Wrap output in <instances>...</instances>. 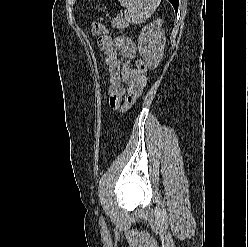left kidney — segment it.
<instances>
[{
  "label": "left kidney",
  "mask_w": 248,
  "mask_h": 247,
  "mask_svg": "<svg viewBox=\"0 0 248 247\" xmlns=\"http://www.w3.org/2000/svg\"><path fill=\"white\" fill-rule=\"evenodd\" d=\"M166 37L162 20L157 19L143 27L138 38V50L150 69H155L164 55Z\"/></svg>",
  "instance_id": "left-kidney-1"
}]
</instances>
